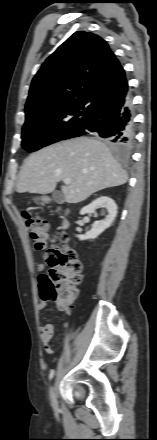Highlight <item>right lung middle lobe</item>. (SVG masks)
Returning <instances> with one entry per match:
<instances>
[{
	"label": "right lung middle lobe",
	"mask_w": 157,
	"mask_h": 440,
	"mask_svg": "<svg viewBox=\"0 0 157 440\" xmlns=\"http://www.w3.org/2000/svg\"><path fill=\"white\" fill-rule=\"evenodd\" d=\"M84 125L48 123L44 121H27L22 129V147L33 152L60 140L82 135Z\"/></svg>",
	"instance_id": "dd1d6c3e"
}]
</instances>
